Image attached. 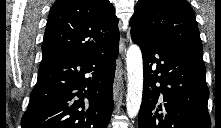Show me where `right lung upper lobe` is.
<instances>
[{"label": "right lung upper lobe", "mask_w": 221, "mask_h": 128, "mask_svg": "<svg viewBox=\"0 0 221 128\" xmlns=\"http://www.w3.org/2000/svg\"><path fill=\"white\" fill-rule=\"evenodd\" d=\"M119 41L118 19L109 0H56L48 15L41 66L89 54Z\"/></svg>", "instance_id": "cb5924a9"}]
</instances>
